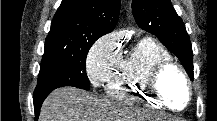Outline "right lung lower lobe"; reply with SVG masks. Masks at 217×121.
I'll use <instances>...</instances> for the list:
<instances>
[{"label":"right lung lower lobe","mask_w":217,"mask_h":121,"mask_svg":"<svg viewBox=\"0 0 217 121\" xmlns=\"http://www.w3.org/2000/svg\"><path fill=\"white\" fill-rule=\"evenodd\" d=\"M48 95H49V93L44 94V95L39 96V97H34L33 98V100H34V108H35V120H37V118L39 116V113H40L41 105H42L43 101L45 100V98Z\"/></svg>","instance_id":"1"}]
</instances>
